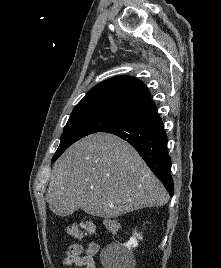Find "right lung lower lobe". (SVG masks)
I'll use <instances>...</instances> for the list:
<instances>
[{
  "instance_id": "obj_1",
  "label": "right lung lower lobe",
  "mask_w": 221,
  "mask_h": 268,
  "mask_svg": "<svg viewBox=\"0 0 221 268\" xmlns=\"http://www.w3.org/2000/svg\"><path fill=\"white\" fill-rule=\"evenodd\" d=\"M103 132L115 134L129 142L144 159L152 172L173 196L171 158L167 151V135L157 112L124 121Z\"/></svg>"
}]
</instances>
